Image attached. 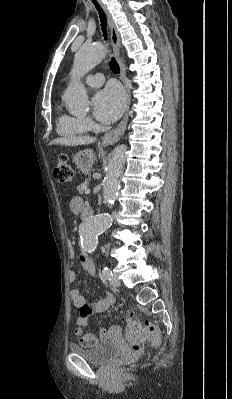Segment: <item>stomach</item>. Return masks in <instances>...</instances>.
I'll use <instances>...</instances> for the list:
<instances>
[{
    "label": "stomach",
    "mask_w": 232,
    "mask_h": 399,
    "mask_svg": "<svg viewBox=\"0 0 232 399\" xmlns=\"http://www.w3.org/2000/svg\"><path fill=\"white\" fill-rule=\"evenodd\" d=\"M94 154L92 150H82L77 152L73 158L74 164H76L78 170H81L82 174H90L92 166L94 164Z\"/></svg>",
    "instance_id": "obj_1"
}]
</instances>
